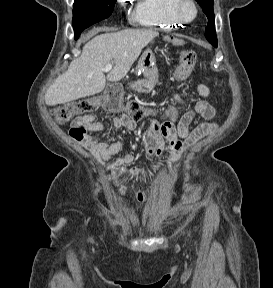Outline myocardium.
<instances>
[{
    "label": "myocardium",
    "instance_id": "f54148a6",
    "mask_svg": "<svg viewBox=\"0 0 273 288\" xmlns=\"http://www.w3.org/2000/svg\"><path fill=\"white\" fill-rule=\"evenodd\" d=\"M186 6H190L192 8V15L187 16L185 14ZM173 12L174 15L181 21V22H192L198 14V7L194 0H176L175 4L173 5Z\"/></svg>",
    "mask_w": 273,
    "mask_h": 288
}]
</instances>
